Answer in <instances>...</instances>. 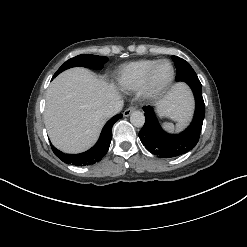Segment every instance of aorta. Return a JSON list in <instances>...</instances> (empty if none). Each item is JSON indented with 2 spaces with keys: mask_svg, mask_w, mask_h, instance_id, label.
I'll use <instances>...</instances> for the list:
<instances>
[{
  "mask_svg": "<svg viewBox=\"0 0 247 247\" xmlns=\"http://www.w3.org/2000/svg\"><path fill=\"white\" fill-rule=\"evenodd\" d=\"M130 122L135 127H142L145 123V116L141 111H134L130 115Z\"/></svg>",
  "mask_w": 247,
  "mask_h": 247,
  "instance_id": "762f6f07",
  "label": "aorta"
}]
</instances>
